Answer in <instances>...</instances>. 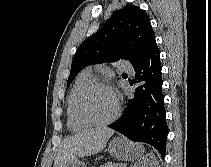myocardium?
<instances>
[{
	"mask_svg": "<svg viewBox=\"0 0 211 167\" xmlns=\"http://www.w3.org/2000/svg\"><path fill=\"white\" fill-rule=\"evenodd\" d=\"M95 88H104V89L109 90L112 93L114 100H115L114 114L110 118H108L107 120H104V121H98V120H95V119L89 117L83 110V100H84L85 96L91 90H93ZM75 111H76V115L78 116V118L90 126H106V125L113 123L118 118V116L120 114L119 98L108 83L101 81V80L94 79V80H91L86 86H84L82 88V90L79 92L77 99H76V103H75Z\"/></svg>",
	"mask_w": 211,
	"mask_h": 167,
	"instance_id": "obj_1",
	"label": "myocardium"
}]
</instances>
